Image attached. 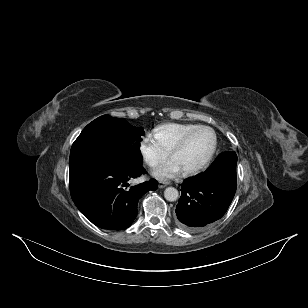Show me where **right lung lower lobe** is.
<instances>
[{"mask_svg": "<svg viewBox=\"0 0 308 308\" xmlns=\"http://www.w3.org/2000/svg\"><path fill=\"white\" fill-rule=\"evenodd\" d=\"M144 172L142 165L83 164L70 167L71 197L96 226L109 230L126 229L137 216L139 198L147 191L157 189L154 179L134 186L128 184Z\"/></svg>", "mask_w": 308, "mask_h": 308, "instance_id": "right-lung-lower-lobe-1", "label": "right lung lower lobe"}]
</instances>
